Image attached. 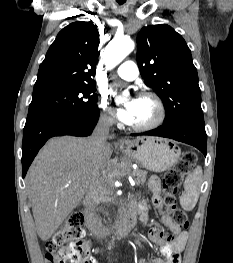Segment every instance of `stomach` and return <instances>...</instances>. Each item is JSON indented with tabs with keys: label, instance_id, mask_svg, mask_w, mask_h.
Returning <instances> with one entry per match:
<instances>
[{
	"label": "stomach",
	"instance_id": "1",
	"mask_svg": "<svg viewBox=\"0 0 233 263\" xmlns=\"http://www.w3.org/2000/svg\"><path fill=\"white\" fill-rule=\"evenodd\" d=\"M120 149L140 166L157 173L171 168L181 154L175 143L157 137H138L127 141Z\"/></svg>",
	"mask_w": 233,
	"mask_h": 263
}]
</instances>
